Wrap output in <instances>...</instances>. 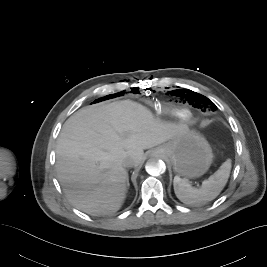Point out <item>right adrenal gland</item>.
I'll return each mask as SVG.
<instances>
[{
    "label": "right adrenal gland",
    "mask_w": 267,
    "mask_h": 267,
    "mask_svg": "<svg viewBox=\"0 0 267 267\" xmlns=\"http://www.w3.org/2000/svg\"><path fill=\"white\" fill-rule=\"evenodd\" d=\"M126 185H127V189H129L130 183H129V178L128 177H127V180H126Z\"/></svg>",
    "instance_id": "right-adrenal-gland-1"
}]
</instances>
